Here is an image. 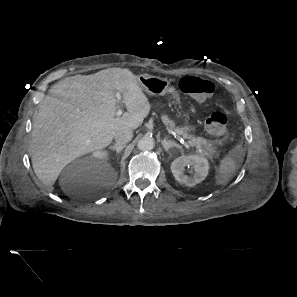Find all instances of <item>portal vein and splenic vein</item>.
<instances>
[{
    "label": "portal vein and splenic vein",
    "mask_w": 297,
    "mask_h": 297,
    "mask_svg": "<svg viewBox=\"0 0 297 297\" xmlns=\"http://www.w3.org/2000/svg\"><path fill=\"white\" fill-rule=\"evenodd\" d=\"M116 98H117L118 100H120V101L122 100V98H121V94H120L119 92L116 93ZM122 113H123V110H122V109H118V111L116 112V115H117V116H121ZM188 144H189L190 146H193V144H192L190 141H188Z\"/></svg>",
    "instance_id": "1"
}]
</instances>
